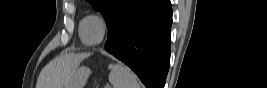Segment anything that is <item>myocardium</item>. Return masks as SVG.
<instances>
[{"label": "myocardium", "mask_w": 267, "mask_h": 88, "mask_svg": "<svg viewBox=\"0 0 267 88\" xmlns=\"http://www.w3.org/2000/svg\"><path fill=\"white\" fill-rule=\"evenodd\" d=\"M89 19H95L101 26V36L95 42H88L86 40V37H85V24ZM106 33H107V24H106L105 20L98 15H89L86 17V19L83 23L82 30H81V39L86 45L95 46V45L100 44L104 40Z\"/></svg>", "instance_id": "f54148a6"}]
</instances>
